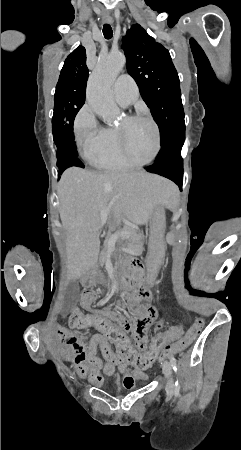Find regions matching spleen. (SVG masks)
I'll return each instance as SVG.
<instances>
[{"mask_svg": "<svg viewBox=\"0 0 241 450\" xmlns=\"http://www.w3.org/2000/svg\"><path fill=\"white\" fill-rule=\"evenodd\" d=\"M169 232H170V234L168 235L169 237L167 238L166 241H167L168 244L171 245V244H173L174 241H175L174 238H173L174 235L172 234L174 231L171 229Z\"/></svg>", "mask_w": 241, "mask_h": 450, "instance_id": "3e777b00", "label": "spleen"}]
</instances>
